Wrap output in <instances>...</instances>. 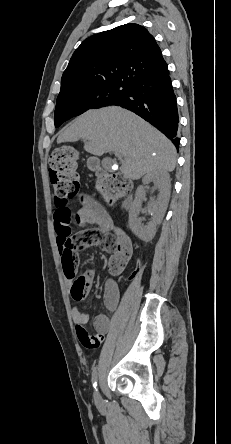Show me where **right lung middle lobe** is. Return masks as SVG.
Returning <instances> with one entry per match:
<instances>
[{
    "instance_id": "1",
    "label": "right lung middle lobe",
    "mask_w": 231,
    "mask_h": 444,
    "mask_svg": "<svg viewBox=\"0 0 231 444\" xmlns=\"http://www.w3.org/2000/svg\"><path fill=\"white\" fill-rule=\"evenodd\" d=\"M129 90L130 85L111 83L60 93L54 114L55 127L86 110L113 105L125 99Z\"/></svg>"
}]
</instances>
